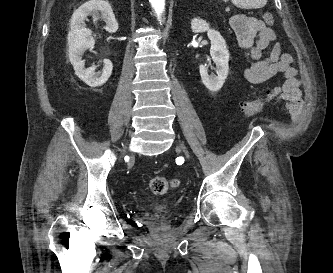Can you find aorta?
<instances>
[{"label": "aorta", "mask_w": 333, "mask_h": 273, "mask_svg": "<svg viewBox=\"0 0 333 273\" xmlns=\"http://www.w3.org/2000/svg\"><path fill=\"white\" fill-rule=\"evenodd\" d=\"M149 2L155 11L157 19L161 21L162 15L165 11V0H149Z\"/></svg>", "instance_id": "obj_1"}]
</instances>
